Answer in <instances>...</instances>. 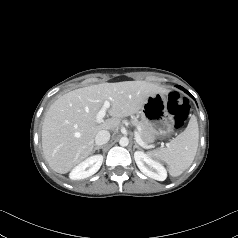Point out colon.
Instances as JSON below:
<instances>
[{
  "label": "colon",
  "instance_id": "5ec220e1",
  "mask_svg": "<svg viewBox=\"0 0 238 238\" xmlns=\"http://www.w3.org/2000/svg\"><path fill=\"white\" fill-rule=\"evenodd\" d=\"M167 109L174 118L176 127H181L189 115L188 102L178 93L171 92L168 96Z\"/></svg>",
  "mask_w": 238,
  "mask_h": 238
}]
</instances>
